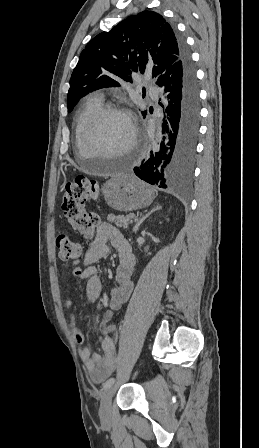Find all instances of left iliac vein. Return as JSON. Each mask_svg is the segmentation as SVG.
I'll use <instances>...</instances> for the list:
<instances>
[{"label": "left iliac vein", "instance_id": "obj_1", "mask_svg": "<svg viewBox=\"0 0 259 448\" xmlns=\"http://www.w3.org/2000/svg\"><path fill=\"white\" fill-rule=\"evenodd\" d=\"M114 394V387L105 389L101 396L99 415L103 422H108L111 416V402Z\"/></svg>", "mask_w": 259, "mask_h": 448}]
</instances>
